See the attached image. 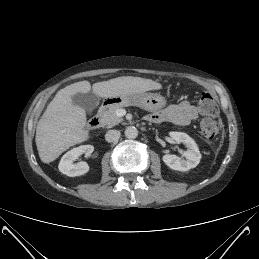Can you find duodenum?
Segmentation results:
<instances>
[{
    "instance_id": "1",
    "label": "duodenum",
    "mask_w": 259,
    "mask_h": 259,
    "mask_svg": "<svg viewBox=\"0 0 259 259\" xmlns=\"http://www.w3.org/2000/svg\"><path fill=\"white\" fill-rule=\"evenodd\" d=\"M111 104V101H104L98 108V112L97 114L90 119L89 121V128L92 129V130H96L100 127L101 125V112L107 108L109 105Z\"/></svg>"
}]
</instances>
